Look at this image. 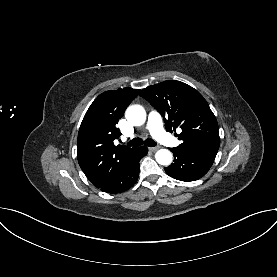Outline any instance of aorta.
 Instances as JSON below:
<instances>
[{"label":"aorta","mask_w":277,"mask_h":277,"mask_svg":"<svg viewBox=\"0 0 277 277\" xmlns=\"http://www.w3.org/2000/svg\"><path fill=\"white\" fill-rule=\"evenodd\" d=\"M125 116L127 120L134 126L144 124L146 120L145 109L140 105L129 106ZM156 161L161 165H169L172 162V153L167 149H160L155 154Z\"/></svg>","instance_id":"762f6f07"}]
</instances>
